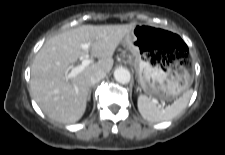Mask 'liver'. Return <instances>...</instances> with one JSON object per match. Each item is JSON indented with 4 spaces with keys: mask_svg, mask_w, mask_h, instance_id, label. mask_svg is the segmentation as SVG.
Returning <instances> with one entry per match:
<instances>
[{
    "mask_svg": "<svg viewBox=\"0 0 225 155\" xmlns=\"http://www.w3.org/2000/svg\"><path fill=\"white\" fill-rule=\"evenodd\" d=\"M136 23L123 25H82L47 40L31 67V93L44 114L61 123H75L86 110L91 75L113 67V54ZM90 43V53L99 58L81 73L68 78L70 65L88 55L81 48Z\"/></svg>",
    "mask_w": 225,
    "mask_h": 155,
    "instance_id": "1",
    "label": "liver"
}]
</instances>
